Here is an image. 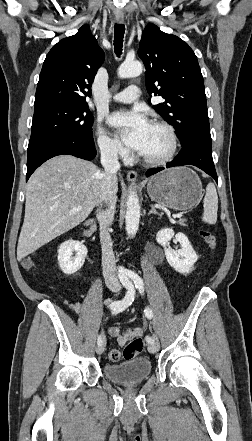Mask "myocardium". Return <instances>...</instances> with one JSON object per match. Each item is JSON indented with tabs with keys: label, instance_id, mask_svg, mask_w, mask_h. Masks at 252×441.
<instances>
[{
	"label": "myocardium",
	"instance_id": "obj_1",
	"mask_svg": "<svg viewBox=\"0 0 252 441\" xmlns=\"http://www.w3.org/2000/svg\"><path fill=\"white\" fill-rule=\"evenodd\" d=\"M152 125L158 128L163 129L170 141V148L168 152L159 158H149L144 155H140L141 160L148 166H162L166 163L170 162L175 156L178 148V138L175 132V129L167 122L161 120H155L152 122Z\"/></svg>",
	"mask_w": 252,
	"mask_h": 441
}]
</instances>
